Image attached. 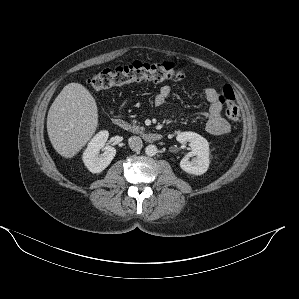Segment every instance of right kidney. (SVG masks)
<instances>
[{"label": "right kidney", "mask_w": 299, "mask_h": 299, "mask_svg": "<svg viewBox=\"0 0 299 299\" xmlns=\"http://www.w3.org/2000/svg\"><path fill=\"white\" fill-rule=\"evenodd\" d=\"M108 131H101L94 136L83 153V162L92 173H100L109 166L116 155V149L106 145ZM103 149V154H99Z\"/></svg>", "instance_id": "ca27d5eb"}]
</instances>
